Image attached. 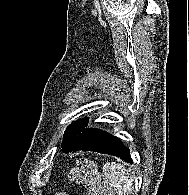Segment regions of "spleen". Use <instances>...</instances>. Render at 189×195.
<instances>
[{
	"label": "spleen",
	"mask_w": 189,
	"mask_h": 195,
	"mask_svg": "<svg viewBox=\"0 0 189 195\" xmlns=\"http://www.w3.org/2000/svg\"><path fill=\"white\" fill-rule=\"evenodd\" d=\"M104 177L118 195H131L133 191V177L123 165L107 162L103 165Z\"/></svg>",
	"instance_id": "3e777b00"
}]
</instances>
